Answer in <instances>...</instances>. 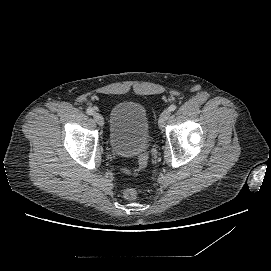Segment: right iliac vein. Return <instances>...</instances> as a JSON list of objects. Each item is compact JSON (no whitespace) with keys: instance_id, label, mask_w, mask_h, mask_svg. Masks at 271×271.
<instances>
[{"instance_id":"63e3f726","label":"right iliac vein","mask_w":271,"mask_h":271,"mask_svg":"<svg viewBox=\"0 0 271 271\" xmlns=\"http://www.w3.org/2000/svg\"><path fill=\"white\" fill-rule=\"evenodd\" d=\"M93 118H94V120L96 121V123L99 126H103L104 125V118H103V116L101 114L94 113Z\"/></svg>"}]
</instances>
